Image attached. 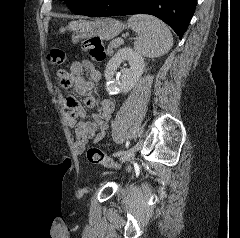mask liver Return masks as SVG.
<instances>
[{
  "label": "liver",
  "instance_id": "1",
  "mask_svg": "<svg viewBox=\"0 0 240 238\" xmlns=\"http://www.w3.org/2000/svg\"><path fill=\"white\" fill-rule=\"evenodd\" d=\"M81 26V21H72L69 23L67 29L69 30H75ZM65 29H61V32H63Z\"/></svg>",
  "mask_w": 240,
  "mask_h": 238
}]
</instances>
